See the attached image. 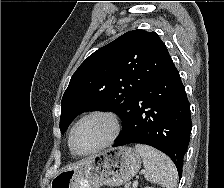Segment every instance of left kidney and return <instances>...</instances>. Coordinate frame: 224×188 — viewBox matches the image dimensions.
<instances>
[{
	"label": "left kidney",
	"mask_w": 224,
	"mask_h": 188,
	"mask_svg": "<svg viewBox=\"0 0 224 188\" xmlns=\"http://www.w3.org/2000/svg\"><path fill=\"white\" fill-rule=\"evenodd\" d=\"M144 188H154V187H144Z\"/></svg>",
	"instance_id": "left-kidney-1"
}]
</instances>
